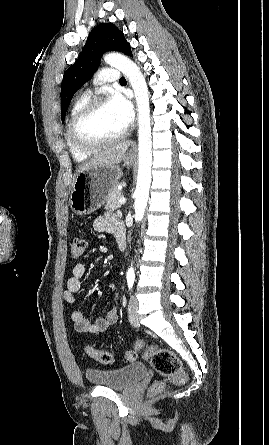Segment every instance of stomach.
Listing matches in <instances>:
<instances>
[{"label":"stomach","mask_w":269,"mask_h":445,"mask_svg":"<svg viewBox=\"0 0 269 445\" xmlns=\"http://www.w3.org/2000/svg\"><path fill=\"white\" fill-rule=\"evenodd\" d=\"M123 162L129 167L134 159L125 156ZM121 176V168L117 165L97 166L78 173L72 184L69 199L73 213L85 216L99 209Z\"/></svg>","instance_id":"obj_1"}]
</instances>
